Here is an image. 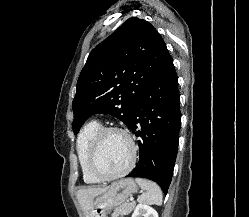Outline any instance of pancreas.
Returning <instances> with one entry per match:
<instances>
[{
	"mask_svg": "<svg viewBox=\"0 0 249 217\" xmlns=\"http://www.w3.org/2000/svg\"><path fill=\"white\" fill-rule=\"evenodd\" d=\"M136 203H124L118 207L115 208L112 217H119V216H124L128 215L132 212V210L135 208Z\"/></svg>",
	"mask_w": 249,
	"mask_h": 217,
	"instance_id": "1",
	"label": "pancreas"
}]
</instances>
